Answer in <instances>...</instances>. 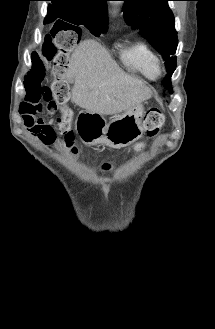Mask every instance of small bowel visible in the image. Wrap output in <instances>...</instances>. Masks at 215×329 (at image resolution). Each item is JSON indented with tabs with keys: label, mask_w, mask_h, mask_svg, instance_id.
Listing matches in <instances>:
<instances>
[{
	"label": "small bowel",
	"mask_w": 215,
	"mask_h": 329,
	"mask_svg": "<svg viewBox=\"0 0 215 329\" xmlns=\"http://www.w3.org/2000/svg\"><path fill=\"white\" fill-rule=\"evenodd\" d=\"M23 121L30 134L41 141L43 144L47 146H60L61 142L59 141L57 134L51 125H48L35 116L30 115L23 116ZM47 126H50V129H46ZM70 151L72 154L77 153V150L74 147H71Z\"/></svg>",
	"instance_id": "c3829d8e"
}]
</instances>
